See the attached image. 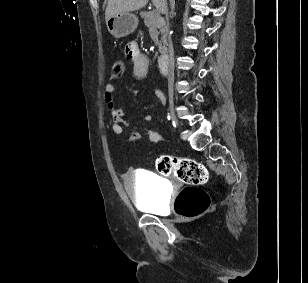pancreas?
I'll return each mask as SVG.
<instances>
[{
    "instance_id": "pancreas-1",
    "label": "pancreas",
    "mask_w": 308,
    "mask_h": 283,
    "mask_svg": "<svg viewBox=\"0 0 308 283\" xmlns=\"http://www.w3.org/2000/svg\"><path fill=\"white\" fill-rule=\"evenodd\" d=\"M141 17L144 20V24L149 28L158 29L161 33L160 42L158 43V49L162 53L167 52V35H168V27L164 21V18L160 16L159 11H149V12H141Z\"/></svg>"
}]
</instances>
